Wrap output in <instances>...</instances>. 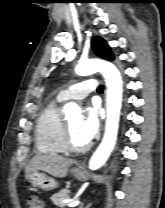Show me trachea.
<instances>
[{"instance_id": "trachea-1", "label": "trachea", "mask_w": 165, "mask_h": 208, "mask_svg": "<svg viewBox=\"0 0 165 208\" xmlns=\"http://www.w3.org/2000/svg\"><path fill=\"white\" fill-rule=\"evenodd\" d=\"M97 91L101 93V92L103 91V85H100V86L98 87Z\"/></svg>"}]
</instances>
